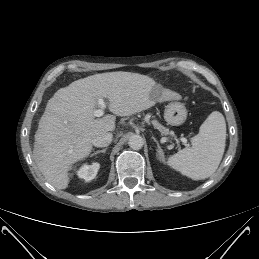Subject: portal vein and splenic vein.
<instances>
[{"label": "portal vein and splenic vein", "mask_w": 259, "mask_h": 259, "mask_svg": "<svg viewBox=\"0 0 259 259\" xmlns=\"http://www.w3.org/2000/svg\"><path fill=\"white\" fill-rule=\"evenodd\" d=\"M98 104H99V109H96L95 111H94V116L95 117H101V116H103V114H104V109L106 108V103H105V101L103 100V99H99L98 100ZM162 140H166V137H163L162 138ZM185 146H188V144H187V139L186 138H180L179 139ZM176 141H178V139H176ZM169 148H171V146H169Z\"/></svg>", "instance_id": "portal-vein-and-splenic-vein-1"}]
</instances>
